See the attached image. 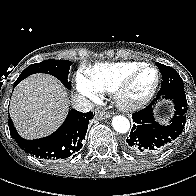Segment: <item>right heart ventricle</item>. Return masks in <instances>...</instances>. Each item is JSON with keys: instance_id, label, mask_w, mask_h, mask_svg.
<instances>
[{"instance_id": "obj_1", "label": "right heart ventricle", "mask_w": 196, "mask_h": 196, "mask_svg": "<svg viewBox=\"0 0 196 196\" xmlns=\"http://www.w3.org/2000/svg\"><path fill=\"white\" fill-rule=\"evenodd\" d=\"M143 64V62L100 63L89 68L87 75L99 91L113 92L128 74Z\"/></svg>"}]
</instances>
